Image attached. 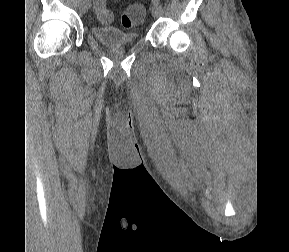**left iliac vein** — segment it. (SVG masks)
Listing matches in <instances>:
<instances>
[{
    "instance_id": "4c4485c4",
    "label": "left iliac vein",
    "mask_w": 289,
    "mask_h": 252,
    "mask_svg": "<svg viewBox=\"0 0 289 252\" xmlns=\"http://www.w3.org/2000/svg\"><path fill=\"white\" fill-rule=\"evenodd\" d=\"M151 13L154 18H158L162 14V7L160 5H154L151 8Z\"/></svg>"
}]
</instances>
